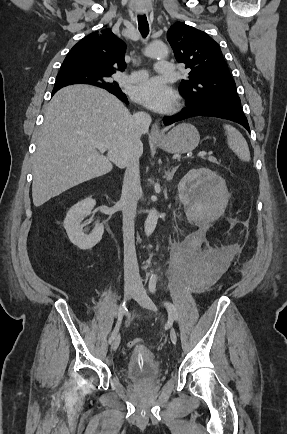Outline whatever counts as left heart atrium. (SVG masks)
I'll use <instances>...</instances> for the list:
<instances>
[{"mask_svg": "<svg viewBox=\"0 0 287 434\" xmlns=\"http://www.w3.org/2000/svg\"><path fill=\"white\" fill-rule=\"evenodd\" d=\"M132 97L136 102L156 112H167L176 102L175 92L159 78H152L135 86Z\"/></svg>", "mask_w": 287, "mask_h": 434, "instance_id": "obj_1", "label": "left heart atrium"}]
</instances>
